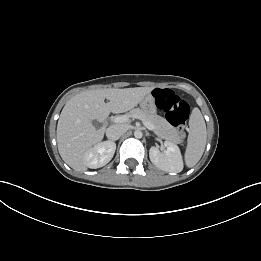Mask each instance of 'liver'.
I'll use <instances>...</instances> for the list:
<instances>
[{
	"instance_id": "6515ba94",
	"label": "liver",
	"mask_w": 261,
	"mask_h": 261,
	"mask_svg": "<svg viewBox=\"0 0 261 261\" xmlns=\"http://www.w3.org/2000/svg\"><path fill=\"white\" fill-rule=\"evenodd\" d=\"M153 87L98 89L81 92L64 106L57 124V145L61 158L76 171H85V154L102 141L103 122L110 113H123L137 106ZM105 99L109 102L105 103Z\"/></svg>"
}]
</instances>
